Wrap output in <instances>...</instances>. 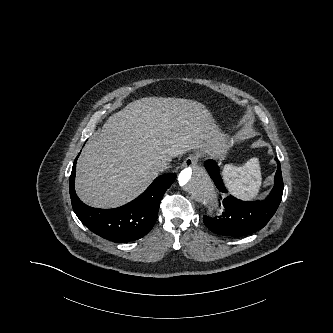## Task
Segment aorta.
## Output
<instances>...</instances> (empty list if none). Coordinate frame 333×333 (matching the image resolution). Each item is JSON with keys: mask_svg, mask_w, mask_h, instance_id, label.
Returning <instances> with one entry per match:
<instances>
[{"mask_svg": "<svg viewBox=\"0 0 333 333\" xmlns=\"http://www.w3.org/2000/svg\"><path fill=\"white\" fill-rule=\"evenodd\" d=\"M178 185L194 203L203 206L211 217H216L221 211L220 197L209 177L201 167L183 169L177 179Z\"/></svg>", "mask_w": 333, "mask_h": 333, "instance_id": "obj_1", "label": "aorta"}]
</instances>
